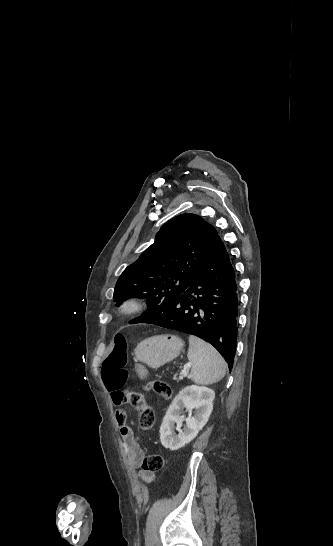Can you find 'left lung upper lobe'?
Segmentation results:
<instances>
[{
    "label": "left lung upper lobe",
    "instance_id": "obj_1",
    "mask_svg": "<svg viewBox=\"0 0 333 546\" xmlns=\"http://www.w3.org/2000/svg\"><path fill=\"white\" fill-rule=\"evenodd\" d=\"M217 236L214 227L198 215L170 219L156 234L155 242L119 277L114 291L116 305L129 297L147 298L148 310L141 316L154 321L190 286Z\"/></svg>",
    "mask_w": 333,
    "mask_h": 546
}]
</instances>
